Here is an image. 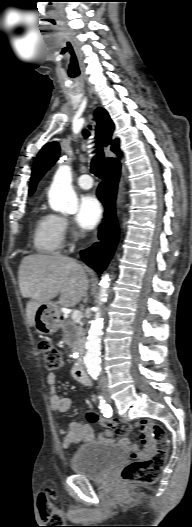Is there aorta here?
<instances>
[{
    "label": "aorta",
    "mask_w": 192,
    "mask_h": 527,
    "mask_svg": "<svg viewBox=\"0 0 192 527\" xmlns=\"http://www.w3.org/2000/svg\"><path fill=\"white\" fill-rule=\"evenodd\" d=\"M50 205L55 211L64 214H74L78 210V199L72 188V171L69 165H62L56 171L49 192ZM109 275L105 274L100 281L99 305L107 297ZM103 318L99 307H96L95 318L91 323L84 358L88 374L97 378L101 372Z\"/></svg>",
    "instance_id": "762f6f07"
}]
</instances>
